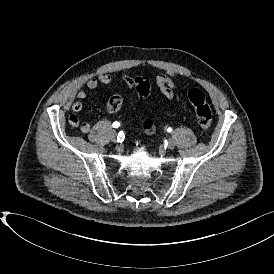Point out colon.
I'll return each instance as SVG.
<instances>
[{"label":"colon","mask_w":274,"mask_h":274,"mask_svg":"<svg viewBox=\"0 0 274 274\" xmlns=\"http://www.w3.org/2000/svg\"><path fill=\"white\" fill-rule=\"evenodd\" d=\"M132 84L136 87V90L146 95L150 90L149 83L142 77H136L132 80ZM188 98L190 103L194 107L195 115L197 118V124L201 131L206 132L210 129L212 123V112L206 101L203 92L197 88H192L188 92ZM122 99H115L109 101L108 107L111 111L116 112L121 108ZM81 126V124H80ZM151 123H148L146 127H150Z\"/></svg>","instance_id":"5ec220e1"}]
</instances>
